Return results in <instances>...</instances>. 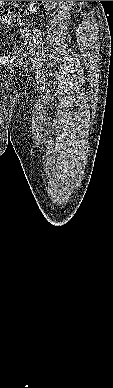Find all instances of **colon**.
Returning a JSON list of instances; mask_svg holds the SVG:
<instances>
[{
  "label": "colon",
  "instance_id": "1",
  "mask_svg": "<svg viewBox=\"0 0 113 388\" xmlns=\"http://www.w3.org/2000/svg\"><path fill=\"white\" fill-rule=\"evenodd\" d=\"M44 3V1H31L30 4L21 11L20 15H15L11 10L0 11V24L3 26H15L22 24L26 16H30Z\"/></svg>",
  "mask_w": 113,
  "mask_h": 388
}]
</instances>
